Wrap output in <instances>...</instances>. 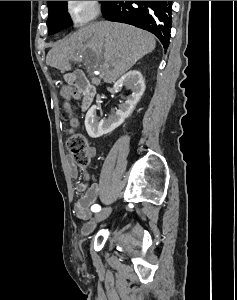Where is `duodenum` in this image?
<instances>
[{
    "label": "duodenum",
    "mask_w": 237,
    "mask_h": 300,
    "mask_svg": "<svg viewBox=\"0 0 237 300\" xmlns=\"http://www.w3.org/2000/svg\"><path fill=\"white\" fill-rule=\"evenodd\" d=\"M70 84L82 95V106L86 109L93 101L96 89L89 82L83 72L74 71L68 78Z\"/></svg>",
    "instance_id": "410a0bca"
}]
</instances>
